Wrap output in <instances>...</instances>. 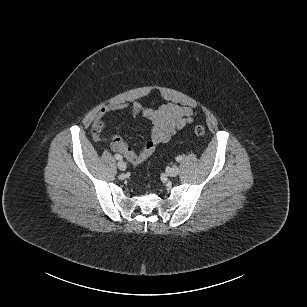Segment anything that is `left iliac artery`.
<instances>
[{"instance_id": "left-iliac-artery-1", "label": "left iliac artery", "mask_w": 307, "mask_h": 307, "mask_svg": "<svg viewBox=\"0 0 307 307\" xmlns=\"http://www.w3.org/2000/svg\"><path fill=\"white\" fill-rule=\"evenodd\" d=\"M176 161H177V162L182 161V157H181V156H177V157H176Z\"/></svg>"}]
</instances>
